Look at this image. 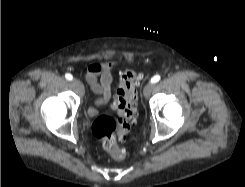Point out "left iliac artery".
Masks as SVG:
<instances>
[{
    "instance_id": "left-iliac-artery-1",
    "label": "left iliac artery",
    "mask_w": 245,
    "mask_h": 187,
    "mask_svg": "<svg viewBox=\"0 0 245 187\" xmlns=\"http://www.w3.org/2000/svg\"><path fill=\"white\" fill-rule=\"evenodd\" d=\"M160 76L159 75H155L151 78V83H157L160 80Z\"/></svg>"
}]
</instances>
